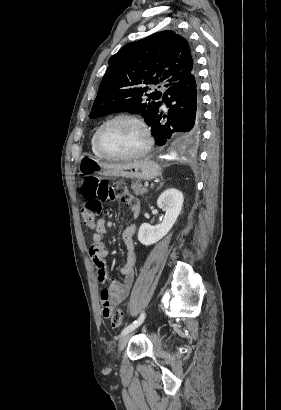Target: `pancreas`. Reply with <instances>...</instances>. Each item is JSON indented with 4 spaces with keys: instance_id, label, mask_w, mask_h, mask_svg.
<instances>
[{
    "instance_id": "1",
    "label": "pancreas",
    "mask_w": 281,
    "mask_h": 410,
    "mask_svg": "<svg viewBox=\"0 0 281 410\" xmlns=\"http://www.w3.org/2000/svg\"><path fill=\"white\" fill-rule=\"evenodd\" d=\"M131 188L136 195H143L147 193V189L144 188L140 182H133Z\"/></svg>"
}]
</instances>
